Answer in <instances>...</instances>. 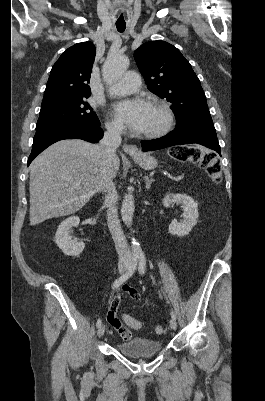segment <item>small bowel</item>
Masks as SVG:
<instances>
[{
  "instance_id": "c3829d8e",
  "label": "small bowel",
  "mask_w": 265,
  "mask_h": 401,
  "mask_svg": "<svg viewBox=\"0 0 265 401\" xmlns=\"http://www.w3.org/2000/svg\"><path fill=\"white\" fill-rule=\"evenodd\" d=\"M122 291H123L124 293L130 295V296H131L132 298H134V299H139V297H140L138 291H137L136 289L131 288V287L124 286V287L122 288ZM119 304H120V296H117L116 298H114V299L112 300V302H111V304H110L109 312H112L115 316H117V309H118ZM108 322H109V321H108ZM109 323H110V322H109ZM111 325H112V324H111ZM112 326H113V325H112ZM113 327H114V326H113ZM130 338H131V335H130V337H129L127 340H129ZM124 340H125V339H124Z\"/></svg>"
}]
</instances>
